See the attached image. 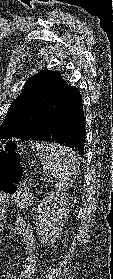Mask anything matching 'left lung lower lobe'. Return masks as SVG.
<instances>
[{
	"mask_svg": "<svg viewBox=\"0 0 113 279\" xmlns=\"http://www.w3.org/2000/svg\"><path fill=\"white\" fill-rule=\"evenodd\" d=\"M85 135L82 96L61 77L48 97L38 103L18 138L63 144L84 155Z\"/></svg>",
	"mask_w": 113,
	"mask_h": 279,
	"instance_id": "obj_1",
	"label": "left lung lower lobe"
}]
</instances>
